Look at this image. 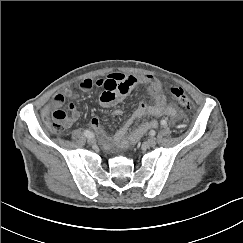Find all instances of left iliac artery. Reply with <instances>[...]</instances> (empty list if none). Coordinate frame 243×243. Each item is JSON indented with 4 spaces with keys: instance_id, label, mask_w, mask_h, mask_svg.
<instances>
[{
    "instance_id": "obj_1",
    "label": "left iliac artery",
    "mask_w": 243,
    "mask_h": 243,
    "mask_svg": "<svg viewBox=\"0 0 243 243\" xmlns=\"http://www.w3.org/2000/svg\"><path fill=\"white\" fill-rule=\"evenodd\" d=\"M160 124H161V126L164 127V126L167 125V121L163 119V120L160 121ZM154 134H155V133H154ZM154 134H153V135H154Z\"/></svg>"
}]
</instances>
